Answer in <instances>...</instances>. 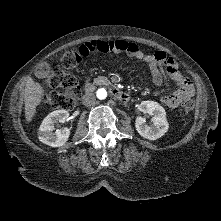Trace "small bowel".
<instances>
[{
	"mask_svg": "<svg viewBox=\"0 0 221 221\" xmlns=\"http://www.w3.org/2000/svg\"><path fill=\"white\" fill-rule=\"evenodd\" d=\"M78 51L83 57H87L95 52L126 54L148 65L155 85L163 84L167 74L176 85V89L172 94L161 97L162 103L169 108L176 109L182 102L193 96L192 85L179 71L177 63L162 51L145 54L139 49L137 44L126 40H90L81 44Z\"/></svg>",
	"mask_w": 221,
	"mask_h": 221,
	"instance_id": "1",
	"label": "small bowel"
}]
</instances>
